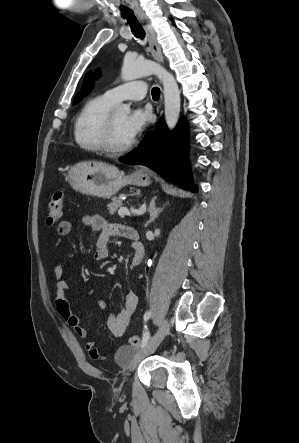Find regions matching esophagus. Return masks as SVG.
<instances>
[{
  "mask_svg": "<svg viewBox=\"0 0 299 443\" xmlns=\"http://www.w3.org/2000/svg\"><path fill=\"white\" fill-rule=\"evenodd\" d=\"M136 15H137L138 20L141 22V24L143 25V27L147 33L149 47H150L153 57L158 62H163V55H162L161 46L157 40L156 31L153 28L150 20L148 19V17L146 16V14L142 10L136 11Z\"/></svg>",
  "mask_w": 299,
  "mask_h": 443,
  "instance_id": "34e87169",
  "label": "esophagus"
}]
</instances>
